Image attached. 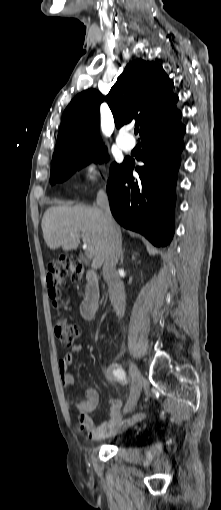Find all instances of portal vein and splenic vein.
Wrapping results in <instances>:
<instances>
[{
	"label": "portal vein and splenic vein",
	"mask_w": 221,
	"mask_h": 510,
	"mask_svg": "<svg viewBox=\"0 0 221 510\" xmlns=\"http://www.w3.org/2000/svg\"><path fill=\"white\" fill-rule=\"evenodd\" d=\"M83 242H84V246L86 248L85 250V255L88 259H92L93 256H94V251H93V248L92 247H89L87 246V242H86V239L83 237Z\"/></svg>",
	"instance_id": "18ae733b"
}]
</instances>
